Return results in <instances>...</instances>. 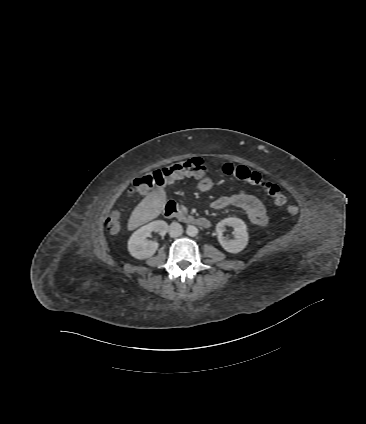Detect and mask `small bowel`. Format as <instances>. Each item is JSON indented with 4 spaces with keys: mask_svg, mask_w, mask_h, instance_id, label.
I'll list each match as a JSON object with an SVG mask.
<instances>
[{
    "mask_svg": "<svg viewBox=\"0 0 366 424\" xmlns=\"http://www.w3.org/2000/svg\"><path fill=\"white\" fill-rule=\"evenodd\" d=\"M229 206L242 209L249 220L258 226H265L268 223V211L265 205L257 197L247 193L245 190L230 196L219 197L212 203V207L217 210Z\"/></svg>",
    "mask_w": 366,
    "mask_h": 424,
    "instance_id": "c3829d8e",
    "label": "small bowel"
}]
</instances>
